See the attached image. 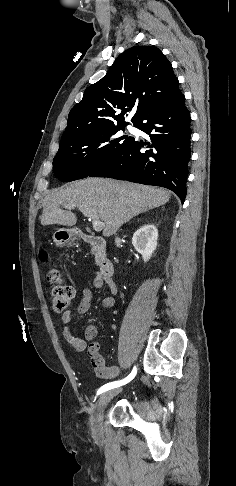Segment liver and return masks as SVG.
<instances>
[{
    "label": "liver",
    "instance_id": "6515ba94",
    "mask_svg": "<svg viewBox=\"0 0 236 486\" xmlns=\"http://www.w3.org/2000/svg\"><path fill=\"white\" fill-rule=\"evenodd\" d=\"M164 189L103 178H87L54 190L43 201L41 224L73 226L77 217L71 209H95L104 222L103 236L110 237L131 218L164 205L170 199Z\"/></svg>",
    "mask_w": 236,
    "mask_h": 486
}]
</instances>
